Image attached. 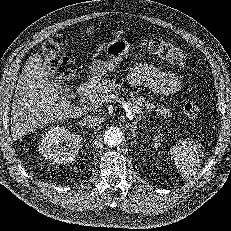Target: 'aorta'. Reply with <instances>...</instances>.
<instances>
[{
	"mask_svg": "<svg viewBox=\"0 0 231 231\" xmlns=\"http://www.w3.org/2000/svg\"><path fill=\"white\" fill-rule=\"evenodd\" d=\"M103 140L107 146L116 147L124 140V133L117 126H111L105 130Z\"/></svg>",
	"mask_w": 231,
	"mask_h": 231,
	"instance_id": "1",
	"label": "aorta"
}]
</instances>
